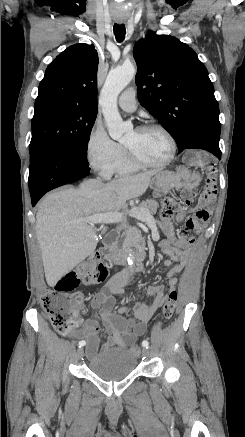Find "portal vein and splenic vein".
I'll use <instances>...</instances> for the list:
<instances>
[{"label":"portal vein and splenic vein","mask_w":245,"mask_h":437,"mask_svg":"<svg viewBox=\"0 0 245 437\" xmlns=\"http://www.w3.org/2000/svg\"><path fill=\"white\" fill-rule=\"evenodd\" d=\"M126 215H130L132 217L138 218L139 220L144 221L145 219L151 217L150 214L146 213L143 216H139L136 208L133 207L130 210H127L126 212H109L104 214H95L93 216L78 219L75 222L76 223H89V224H95V223H116L125 220Z\"/></svg>","instance_id":"18ae733b"}]
</instances>
